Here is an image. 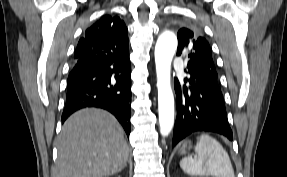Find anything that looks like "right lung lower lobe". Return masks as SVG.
Segmentation results:
<instances>
[{
    "mask_svg": "<svg viewBox=\"0 0 287 177\" xmlns=\"http://www.w3.org/2000/svg\"><path fill=\"white\" fill-rule=\"evenodd\" d=\"M131 65L128 35L87 42L86 55L74 62L67 81L62 123L75 111L99 107L131 132Z\"/></svg>",
    "mask_w": 287,
    "mask_h": 177,
    "instance_id": "1",
    "label": "right lung lower lobe"
}]
</instances>
